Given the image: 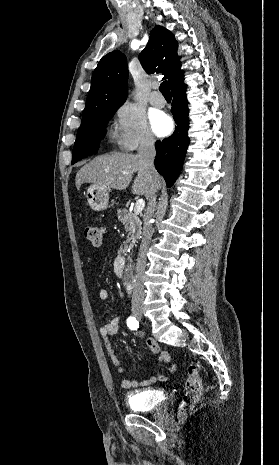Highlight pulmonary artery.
<instances>
[{
    "mask_svg": "<svg viewBox=\"0 0 279 465\" xmlns=\"http://www.w3.org/2000/svg\"><path fill=\"white\" fill-rule=\"evenodd\" d=\"M149 102L156 108H162L165 106L164 97L156 90L152 91L149 97Z\"/></svg>",
    "mask_w": 279,
    "mask_h": 465,
    "instance_id": "1",
    "label": "pulmonary artery"
}]
</instances>
